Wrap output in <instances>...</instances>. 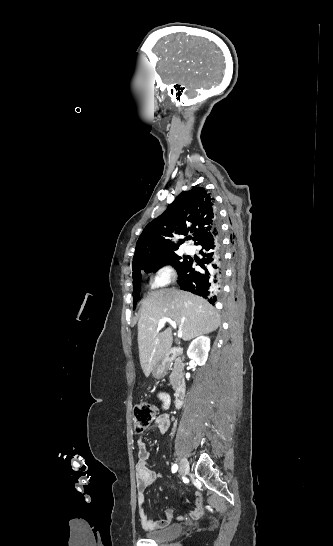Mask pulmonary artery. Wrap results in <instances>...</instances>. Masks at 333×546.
I'll return each mask as SVG.
<instances>
[{
	"label": "pulmonary artery",
	"mask_w": 333,
	"mask_h": 546,
	"mask_svg": "<svg viewBox=\"0 0 333 546\" xmlns=\"http://www.w3.org/2000/svg\"><path fill=\"white\" fill-rule=\"evenodd\" d=\"M185 252L187 254H193L195 252V249L193 246L191 245H186L185 248H184Z\"/></svg>",
	"instance_id": "1"
}]
</instances>
